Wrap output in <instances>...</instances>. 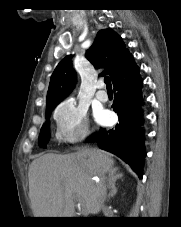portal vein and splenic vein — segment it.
<instances>
[{"instance_id": "obj_1", "label": "portal vein and splenic vein", "mask_w": 181, "mask_h": 227, "mask_svg": "<svg viewBox=\"0 0 181 227\" xmlns=\"http://www.w3.org/2000/svg\"><path fill=\"white\" fill-rule=\"evenodd\" d=\"M80 204H83V202L81 200H79Z\"/></svg>"}]
</instances>
